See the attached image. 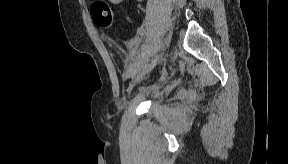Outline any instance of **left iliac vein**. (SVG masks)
<instances>
[{
	"label": "left iliac vein",
	"instance_id": "obj_1",
	"mask_svg": "<svg viewBox=\"0 0 288 164\" xmlns=\"http://www.w3.org/2000/svg\"><path fill=\"white\" fill-rule=\"evenodd\" d=\"M163 46H164V44H163V42H161L157 47V51L161 50L163 48ZM148 68H149L148 64L141 65L136 77L141 76L144 72H146L148 70Z\"/></svg>",
	"mask_w": 288,
	"mask_h": 164
}]
</instances>
